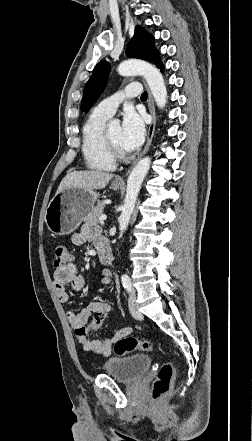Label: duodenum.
Listing matches in <instances>:
<instances>
[{
    "mask_svg": "<svg viewBox=\"0 0 252 441\" xmlns=\"http://www.w3.org/2000/svg\"><path fill=\"white\" fill-rule=\"evenodd\" d=\"M99 259L103 264H109L112 261L111 249L109 244L103 243L97 248Z\"/></svg>",
    "mask_w": 252,
    "mask_h": 441,
    "instance_id": "1",
    "label": "duodenum"
}]
</instances>
